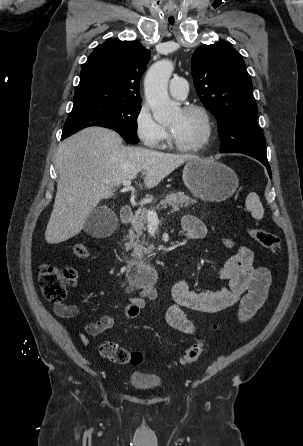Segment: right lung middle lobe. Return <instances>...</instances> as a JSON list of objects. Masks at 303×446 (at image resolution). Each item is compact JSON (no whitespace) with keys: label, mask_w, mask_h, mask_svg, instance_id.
<instances>
[{"label":"right lung middle lobe","mask_w":303,"mask_h":446,"mask_svg":"<svg viewBox=\"0 0 303 446\" xmlns=\"http://www.w3.org/2000/svg\"><path fill=\"white\" fill-rule=\"evenodd\" d=\"M140 103L100 102L72 109L62 133V139L89 126H102L118 132L127 142L138 143L136 128Z\"/></svg>","instance_id":"obj_1"}]
</instances>
